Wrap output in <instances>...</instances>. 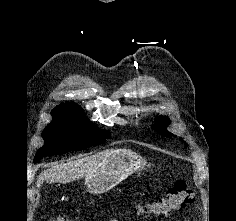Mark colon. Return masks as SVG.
<instances>
[{
	"instance_id": "1",
	"label": "colon",
	"mask_w": 236,
	"mask_h": 221,
	"mask_svg": "<svg viewBox=\"0 0 236 221\" xmlns=\"http://www.w3.org/2000/svg\"><path fill=\"white\" fill-rule=\"evenodd\" d=\"M194 192L185 181H177L166 193L150 203L139 206V212L150 213L158 216H168L182 210L194 200ZM50 221H74L66 215H59Z\"/></svg>"
}]
</instances>
